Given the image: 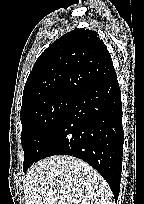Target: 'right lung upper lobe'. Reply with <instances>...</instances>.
I'll list each match as a JSON object with an SVG mask.
<instances>
[{
    "instance_id": "1",
    "label": "right lung upper lobe",
    "mask_w": 144,
    "mask_h": 204,
    "mask_svg": "<svg viewBox=\"0 0 144 204\" xmlns=\"http://www.w3.org/2000/svg\"><path fill=\"white\" fill-rule=\"evenodd\" d=\"M115 72L106 45L94 31L77 28L52 43L26 81L21 112L59 93L77 94Z\"/></svg>"
}]
</instances>
